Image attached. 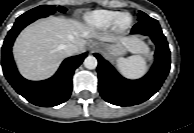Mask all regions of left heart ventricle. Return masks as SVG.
<instances>
[{
  "label": "left heart ventricle",
  "mask_w": 194,
  "mask_h": 133,
  "mask_svg": "<svg viewBox=\"0 0 194 133\" xmlns=\"http://www.w3.org/2000/svg\"><path fill=\"white\" fill-rule=\"evenodd\" d=\"M129 16H124L123 18H122V20H121V23L123 24V25H125V24H127L128 22H129Z\"/></svg>",
  "instance_id": "obj_1"
}]
</instances>
